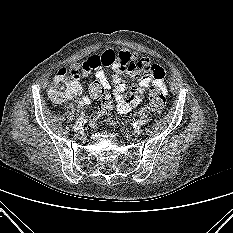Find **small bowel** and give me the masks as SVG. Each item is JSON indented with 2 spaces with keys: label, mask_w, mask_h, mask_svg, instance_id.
Returning <instances> with one entry per match:
<instances>
[{
  "label": "small bowel",
  "mask_w": 233,
  "mask_h": 233,
  "mask_svg": "<svg viewBox=\"0 0 233 233\" xmlns=\"http://www.w3.org/2000/svg\"><path fill=\"white\" fill-rule=\"evenodd\" d=\"M102 67H110L113 70V87ZM93 70H96L95 77L97 82L107 90L112 88L116 107L120 113H128L138 106L143 100L145 89L150 84L164 93L167 91L163 82L164 70L161 66L151 62L148 58L139 57L121 47L117 51L106 49L100 55L89 57L82 64H72L68 69L61 68L58 72H66L71 75V95L66 100L74 99L82 93L83 86L80 81V74L88 76ZM122 73H127L131 77L138 79V85L127 91L125 78L122 77ZM90 103L91 97L88 95H83L77 99L78 107L81 110Z\"/></svg>",
  "instance_id": "1"
}]
</instances>
